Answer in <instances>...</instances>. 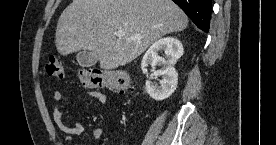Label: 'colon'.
Wrapping results in <instances>:
<instances>
[{"mask_svg": "<svg viewBox=\"0 0 276 145\" xmlns=\"http://www.w3.org/2000/svg\"><path fill=\"white\" fill-rule=\"evenodd\" d=\"M45 72L49 77L63 79L65 77L60 59L50 56L45 64ZM80 83L89 88H107L125 93L130 89V80L126 72L118 69L99 67L82 68L77 72Z\"/></svg>", "mask_w": 276, "mask_h": 145, "instance_id": "obj_1", "label": "colon"}]
</instances>
